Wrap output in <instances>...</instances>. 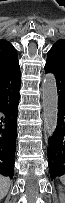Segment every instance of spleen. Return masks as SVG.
I'll return each instance as SVG.
<instances>
[{
    "label": "spleen",
    "mask_w": 65,
    "mask_h": 203,
    "mask_svg": "<svg viewBox=\"0 0 65 203\" xmlns=\"http://www.w3.org/2000/svg\"><path fill=\"white\" fill-rule=\"evenodd\" d=\"M60 181L62 182V183H64L65 182V176L63 175V176H61L60 178Z\"/></svg>",
    "instance_id": "spleen-1"
}]
</instances>
